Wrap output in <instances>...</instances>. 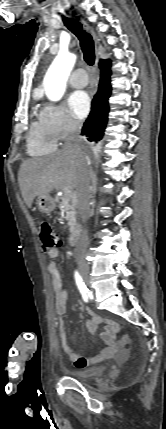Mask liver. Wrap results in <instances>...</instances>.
<instances>
[{
	"mask_svg": "<svg viewBox=\"0 0 166 429\" xmlns=\"http://www.w3.org/2000/svg\"><path fill=\"white\" fill-rule=\"evenodd\" d=\"M82 154L87 156L83 151ZM80 167L81 157L64 148L49 156L24 161L18 182L26 205L30 208L35 197L54 189H77Z\"/></svg>",
	"mask_w": 166,
	"mask_h": 429,
	"instance_id": "1",
	"label": "liver"
}]
</instances>
